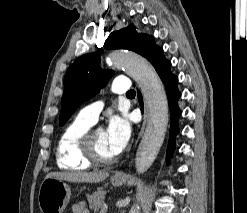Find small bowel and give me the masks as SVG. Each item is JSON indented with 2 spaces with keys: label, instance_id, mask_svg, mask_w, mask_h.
Returning <instances> with one entry per match:
<instances>
[{
  "label": "small bowel",
  "instance_id": "obj_1",
  "mask_svg": "<svg viewBox=\"0 0 247 213\" xmlns=\"http://www.w3.org/2000/svg\"><path fill=\"white\" fill-rule=\"evenodd\" d=\"M73 212L74 213H89L85 204H83V203L75 204L73 206Z\"/></svg>",
  "mask_w": 247,
  "mask_h": 213
}]
</instances>
